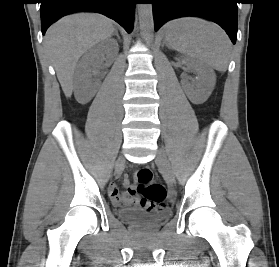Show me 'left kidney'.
<instances>
[{
    "label": "left kidney",
    "mask_w": 279,
    "mask_h": 267,
    "mask_svg": "<svg viewBox=\"0 0 279 267\" xmlns=\"http://www.w3.org/2000/svg\"><path fill=\"white\" fill-rule=\"evenodd\" d=\"M185 61L197 77L192 84L182 81V88L193 104H203L214 89L216 83L215 72L197 59L185 58Z\"/></svg>",
    "instance_id": "1"
}]
</instances>
